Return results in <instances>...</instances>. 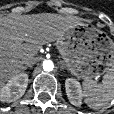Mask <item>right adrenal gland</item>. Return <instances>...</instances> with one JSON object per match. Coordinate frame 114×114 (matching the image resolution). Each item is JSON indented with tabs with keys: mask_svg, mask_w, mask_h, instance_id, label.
<instances>
[{
	"mask_svg": "<svg viewBox=\"0 0 114 114\" xmlns=\"http://www.w3.org/2000/svg\"><path fill=\"white\" fill-rule=\"evenodd\" d=\"M32 66H24L23 71L27 70L28 68H31Z\"/></svg>",
	"mask_w": 114,
	"mask_h": 114,
	"instance_id": "2a0ac1e0",
	"label": "right adrenal gland"
}]
</instances>
